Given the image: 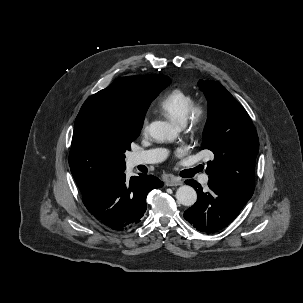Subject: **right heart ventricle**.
<instances>
[{"instance_id":"right-heart-ventricle-1","label":"right heart ventricle","mask_w":303,"mask_h":303,"mask_svg":"<svg viewBox=\"0 0 303 303\" xmlns=\"http://www.w3.org/2000/svg\"><path fill=\"white\" fill-rule=\"evenodd\" d=\"M193 103L192 94L180 88H173L160 99L158 109L176 123L183 124Z\"/></svg>"}]
</instances>
